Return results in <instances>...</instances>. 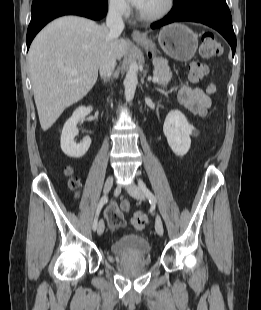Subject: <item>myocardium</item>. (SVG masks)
Masks as SVG:
<instances>
[{
  "label": "myocardium",
  "mask_w": 261,
  "mask_h": 310,
  "mask_svg": "<svg viewBox=\"0 0 261 310\" xmlns=\"http://www.w3.org/2000/svg\"><path fill=\"white\" fill-rule=\"evenodd\" d=\"M174 7V0H165L163 7L157 12L146 14L138 11V17L143 21H156L168 15Z\"/></svg>",
  "instance_id": "f54148a6"
}]
</instances>
